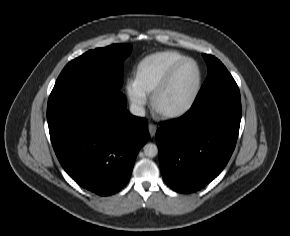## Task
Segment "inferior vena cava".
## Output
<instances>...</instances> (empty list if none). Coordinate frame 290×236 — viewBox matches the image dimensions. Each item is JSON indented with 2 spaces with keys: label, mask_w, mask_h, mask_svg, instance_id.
I'll use <instances>...</instances> for the list:
<instances>
[{
  "label": "inferior vena cava",
  "mask_w": 290,
  "mask_h": 236,
  "mask_svg": "<svg viewBox=\"0 0 290 236\" xmlns=\"http://www.w3.org/2000/svg\"><path fill=\"white\" fill-rule=\"evenodd\" d=\"M130 112L131 114L135 116H139V117L145 116V109L142 106L137 105V104L130 105Z\"/></svg>",
  "instance_id": "1"
}]
</instances>
